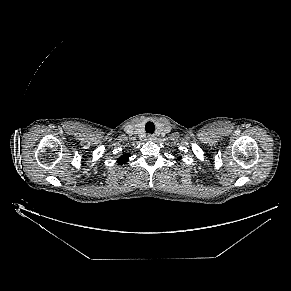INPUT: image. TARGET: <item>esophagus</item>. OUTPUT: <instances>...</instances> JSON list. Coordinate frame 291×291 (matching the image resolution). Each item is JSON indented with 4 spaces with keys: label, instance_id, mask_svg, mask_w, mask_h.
<instances>
[{
    "label": "esophagus",
    "instance_id": "obj_1",
    "mask_svg": "<svg viewBox=\"0 0 291 291\" xmlns=\"http://www.w3.org/2000/svg\"><path fill=\"white\" fill-rule=\"evenodd\" d=\"M148 140H150V141H155V140H156V136L153 135V134H149V135H148Z\"/></svg>",
    "mask_w": 291,
    "mask_h": 291
}]
</instances>
